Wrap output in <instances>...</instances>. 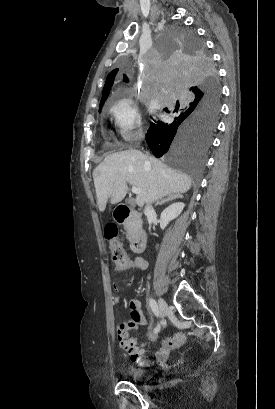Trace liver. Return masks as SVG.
Wrapping results in <instances>:
<instances>
[{
  "instance_id": "6515ba94",
  "label": "liver",
  "mask_w": 275,
  "mask_h": 409,
  "mask_svg": "<svg viewBox=\"0 0 275 409\" xmlns=\"http://www.w3.org/2000/svg\"><path fill=\"white\" fill-rule=\"evenodd\" d=\"M93 178L99 211H105L109 198L115 205L126 196L127 182L141 188L136 196L138 207L172 192H187L191 186L188 174L172 170L162 160L135 148L107 154L94 168Z\"/></svg>"
}]
</instances>
